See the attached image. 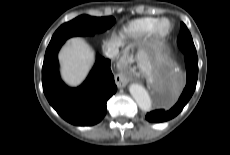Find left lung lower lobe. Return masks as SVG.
Here are the masks:
<instances>
[{
  "label": "left lung lower lobe",
  "instance_id": "left-lung-lower-lobe-1",
  "mask_svg": "<svg viewBox=\"0 0 230 155\" xmlns=\"http://www.w3.org/2000/svg\"><path fill=\"white\" fill-rule=\"evenodd\" d=\"M185 56L187 82L178 102L170 109H158L146 114L145 119L151 123H160L176 117L188 103L194 93L198 76V57L196 49L182 51Z\"/></svg>",
  "mask_w": 230,
  "mask_h": 155
}]
</instances>
